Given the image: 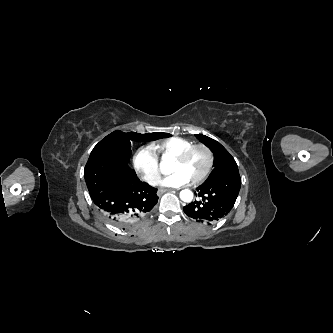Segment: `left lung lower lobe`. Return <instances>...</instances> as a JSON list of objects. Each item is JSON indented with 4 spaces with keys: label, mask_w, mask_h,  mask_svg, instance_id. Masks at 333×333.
<instances>
[{
    "label": "left lung lower lobe",
    "mask_w": 333,
    "mask_h": 333,
    "mask_svg": "<svg viewBox=\"0 0 333 333\" xmlns=\"http://www.w3.org/2000/svg\"><path fill=\"white\" fill-rule=\"evenodd\" d=\"M241 179L239 173L219 177L197 188L196 196L201 201H194L183 208L190 218L197 222L213 224L224 218L233 208Z\"/></svg>",
    "instance_id": "obj_1"
}]
</instances>
